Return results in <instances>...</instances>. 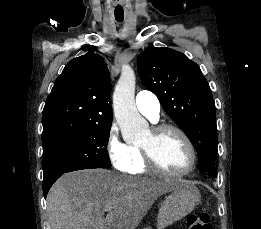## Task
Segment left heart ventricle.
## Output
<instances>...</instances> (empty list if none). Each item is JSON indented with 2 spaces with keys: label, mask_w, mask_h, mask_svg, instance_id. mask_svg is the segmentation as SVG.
<instances>
[{
  "label": "left heart ventricle",
  "mask_w": 261,
  "mask_h": 229,
  "mask_svg": "<svg viewBox=\"0 0 261 229\" xmlns=\"http://www.w3.org/2000/svg\"><path fill=\"white\" fill-rule=\"evenodd\" d=\"M150 133L142 144L149 142ZM154 153L158 162L171 172L184 171L190 164L189 150L181 138L175 132H165L154 144Z\"/></svg>",
  "instance_id": "b2bd125f"
}]
</instances>
